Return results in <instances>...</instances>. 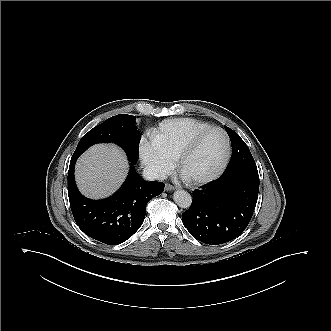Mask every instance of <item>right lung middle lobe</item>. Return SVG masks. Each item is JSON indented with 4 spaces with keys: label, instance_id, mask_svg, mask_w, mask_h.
<instances>
[{
    "label": "right lung middle lobe",
    "instance_id": "right-lung-middle-lobe-1",
    "mask_svg": "<svg viewBox=\"0 0 331 331\" xmlns=\"http://www.w3.org/2000/svg\"><path fill=\"white\" fill-rule=\"evenodd\" d=\"M135 120V116L126 114L107 119L82 137L73 156H79L93 144L113 142L126 152L130 162L136 163L141 134L137 130Z\"/></svg>",
    "mask_w": 331,
    "mask_h": 331
}]
</instances>
